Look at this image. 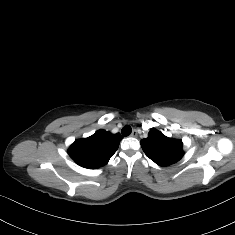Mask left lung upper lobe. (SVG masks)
<instances>
[{
  "label": "left lung upper lobe",
  "instance_id": "1",
  "mask_svg": "<svg viewBox=\"0 0 235 235\" xmlns=\"http://www.w3.org/2000/svg\"><path fill=\"white\" fill-rule=\"evenodd\" d=\"M141 146L147 157L160 166L174 164L184 154L181 140L168 138L156 129H151L148 137L141 140Z\"/></svg>",
  "mask_w": 235,
  "mask_h": 235
}]
</instances>
